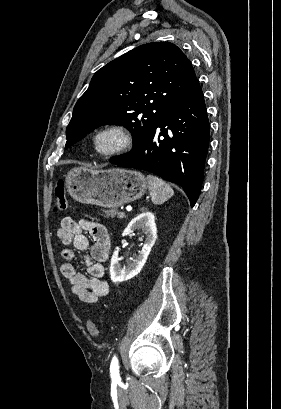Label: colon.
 Here are the masks:
<instances>
[{
  "label": "colon",
  "instance_id": "1",
  "mask_svg": "<svg viewBox=\"0 0 281 409\" xmlns=\"http://www.w3.org/2000/svg\"><path fill=\"white\" fill-rule=\"evenodd\" d=\"M55 194H56V208L58 211H66L69 206V201L67 198V195L65 193L64 187L61 184L56 185L55 188ZM86 328L90 329L89 333L96 335L99 333V326L95 322H87L86 323Z\"/></svg>",
  "mask_w": 281,
  "mask_h": 409
}]
</instances>
